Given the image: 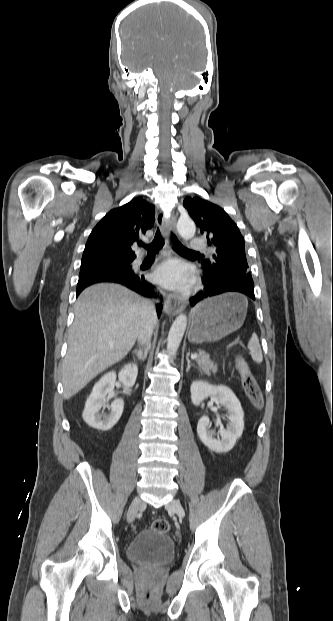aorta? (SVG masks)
I'll list each match as a JSON object with an SVG mask.
<instances>
[{"label": "aorta", "instance_id": "1", "mask_svg": "<svg viewBox=\"0 0 333 621\" xmlns=\"http://www.w3.org/2000/svg\"><path fill=\"white\" fill-rule=\"evenodd\" d=\"M177 230L180 236L189 240L194 237L196 227L195 223L189 218H181L177 224ZM187 325V317L185 314H179L174 320L167 338V351L171 357L176 355L179 345L182 341Z\"/></svg>", "mask_w": 333, "mask_h": 621}]
</instances>
